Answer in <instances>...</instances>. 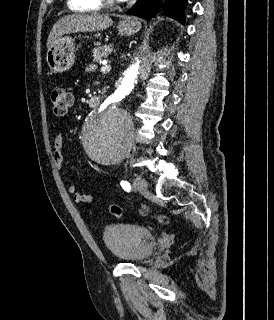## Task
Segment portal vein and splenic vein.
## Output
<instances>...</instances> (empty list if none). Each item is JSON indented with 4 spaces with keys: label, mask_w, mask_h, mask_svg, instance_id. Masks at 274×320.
<instances>
[{
    "label": "portal vein and splenic vein",
    "mask_w": 274,
    "mask_h": 320,
    "mask_svg": "<svg viewBox=\"0 0 274 320\" xmlns=\"http://www.w3.org/2000/svg\"><path fill=\"white\" fill-rule=\"evenodd\" d=\"M108 68H110V66H108V62H106V60H105V62H102L101 70H108Z\"/></svg>",
    "instance_id": "portal-vein-and-splenic-vein-1"
}]
</instances>
